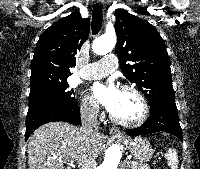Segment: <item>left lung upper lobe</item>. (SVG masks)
I'll return each instance as SVG.
<instances>
[{"label":"left lung upper lobe","mask_w":200,"mask_h":169,"mask_svg":"<svg viewBox=\"0 0 200 169\" xmlns=\"http://www.w3.org/2000/svg\"><path fill=\"white\" fill-rule=\"evenodd\" d=\"M115 15V52L124 76L136 83L150 105L158 100L175 101L170 59L158 31L125 10H117Z\"/></svg>","instance_id":"left-lung-upper-lobe-1"}]
</instances>
